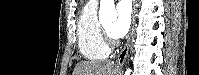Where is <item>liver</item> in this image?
<instances>
[{"mask_svg":"<svg viewBox=\"0 0 199 75\" xmlns=\"http://www.w3.org/2000/svg\"><path fill=\"white\" fill-rule=\"evenodd\" d=\"M73 75H118V69L113 62L87 61L77 64Z\"/></svg>","mask_w":199,"mask_h":75,"instance_id":"liver-1","label":"liver"}]
</instances>
